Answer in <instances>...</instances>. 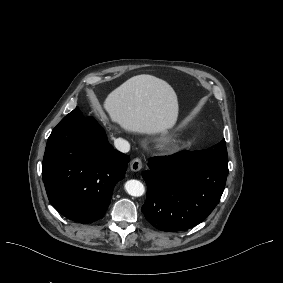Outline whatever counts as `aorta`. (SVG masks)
Returning <instances> with one entry per match:
<instances>
[{
  "instance_id": "aorta-1",
  "label": "aorta",
  "mask_w": 283,
  "mask_h": 283,
  "mask_svg": "<svg viewBox=\"0 0 283 283\" xmlns=\"http://www.w3.org/2000/svg\"><path fill=\"white\" fill-rule=\"evenodd\" d=\"M125 190L129 195L139 197L144 194L145 187L140 181L133 179L125 183Z\"/></svg>"
}]
</instances>
